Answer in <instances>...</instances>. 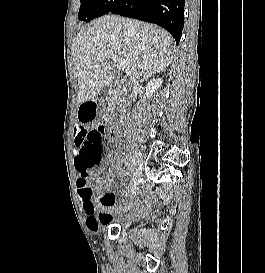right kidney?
<instances>
[{"label": "right kidney", "mask_w": 265, "mask_h": 273, "mask_svg": "<svg viewBox=\"0 0 265 273\" xmlns=\"http://www.w3.org/2000/svg\"><path fill=\"white\" fill-rule=\"evenodd\" d=\"M162 82L163 81L161 79H154L150 81L145 87L146 96L151 98L155 91L161 86Z\"/></svg>", "instance_id": "obj_1"}]
</instances>
